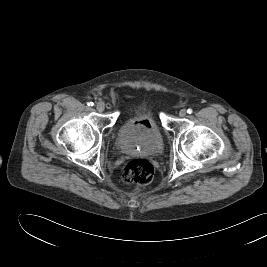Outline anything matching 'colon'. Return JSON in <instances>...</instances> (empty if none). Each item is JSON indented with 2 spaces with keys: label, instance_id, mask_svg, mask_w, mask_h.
Here are the masks:
<instances>
[{
  "label": "colon",
  "instance_id": "1",
  "mask_svg": "<svg viewBox=\"0 0 267 267\" xmlns=\"http://www.w3.org/2000/svg\"><path fill=\"white\" fill-rule=\"evenodd\" d=\"M154 177L153 165L145 159H133L126 163L122 171V181L126 185H147Z\"/></svg>",
  "mask_w": 267,
  "mask_h": 267
}]
</instances>
